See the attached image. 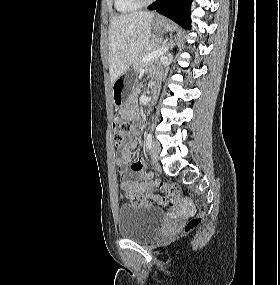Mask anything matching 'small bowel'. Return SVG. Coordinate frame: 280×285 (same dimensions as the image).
Here are the masks:
<instances>
[{"mask_svg":"<svg viewBox=\"0 0 280 285\" xmlns=\"http://www.w3.org/2000/svg\"><path fill=\"white\" fill-rule=\"evenodd\" d=\"M122 114L131 118L134 117L133 115H129L127 110H124ZM136 147L137 141L132 139L119 148V157L116 159V166L119 172L121 188L125 191L150 193L154 189V184L149 180V175L145 169V159L139 156L131 162L129 169L127 168L130 161V152ZM128 171L135 174L137 178L134 180L129 179L127 177Z\"/></svg>","mask_w":280,"mask_h":285,"instance_id":"c3829d8e","label":"small bowel"}]
</instances>
